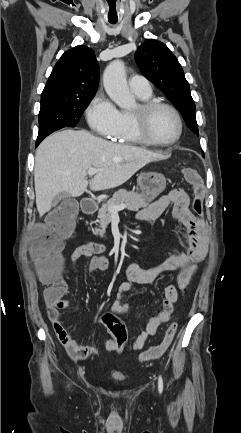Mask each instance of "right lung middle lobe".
Here are the masks:
<instances>
[{"mask_svg": "<svg viewBox=\"0 0 241 433\" xmlns=\"http://www.w3.org/2000/svg\"><path fill=\"white\" fill-rule=\"evenodd\" d=\"M53 98L41 101L39 133L36 145L52 132L64 127H75L86 106L92 100Z\"/></svg>", "mask_w": 241, "mask_h": 433, "instance_id": "dd1d6c3e", "label": "right lung middle lobe"}]
</instances>
